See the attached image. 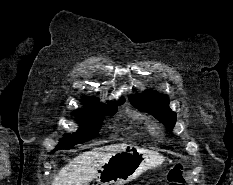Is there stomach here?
<instances>
[{"label": "stomach", "instance_id": "stomach-1", "mask_svg": "<svg viewBox=\"0 0 233 185\" xmlns=\"http://www.w3.org/2000/svg\"><path fill=\"white\" fill-rule=\"evenodd\" d=\"M163 161V156L155 151L127 145L101 166L94 179L96 185H124Z\"/></svg>", "mask_w": 233, "mask_h": 185}]
</instances>
